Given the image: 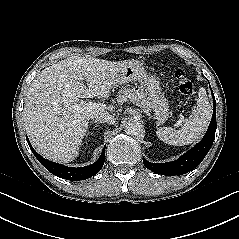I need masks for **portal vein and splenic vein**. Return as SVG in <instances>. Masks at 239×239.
Returning a JSON list of instances; mask_svg holds the SVG:
<instances>
[{"instance_id": "obj_1", "label": "portal vein and splenic vein", "mask_w": 239, "mask_h": 239, "mask_svg": "<svg viewBox=\"0 0 239 239\" xmlns=\"http://www.w3.org/2000/svg\"><path fill=\"white\" fill-rule=\"evenodd\" d=\"M77 108L83 110H87V111H91V110H104L105 109V105L100 104V103H95V102H89V103H85V102H81Z\"/></svg>"}]
</instances>
